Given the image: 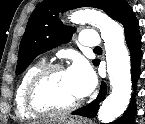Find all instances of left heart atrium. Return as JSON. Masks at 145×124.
<instances>
[{
    "label": "left heart atrium",
    "instance_id": "39dd6f15",
    "mask_svg": "<svg viewBox=\"0 0 145 124\" xmlns=\"http://www.w3.org/2000/svg\"><path fill=\"white\" fill-rule=\"evenodd\" d=\"M67 74L79 98L87 96L95 87L96 78L89 65L82 59H75Z\"/></svg>",
    "mask_w": 145,
    "mask_h": 124
}]
</instances>
